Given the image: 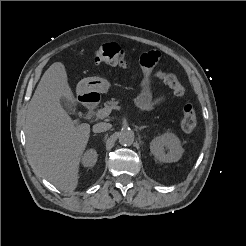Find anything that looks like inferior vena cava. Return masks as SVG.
I'll list each match as a JSON object with an SVG mask.
<instances>
[{
    "mask_svg": "<svg viewBox=\"0 0 246 246\" xmlns=\"http://www.w3.org/2000/svg\"><path fill=\"white\" fill-rule=\"evenodd\" d=\"M110 128H111L110 123L100 122V123H97L93 126V132L94 133H101V132H105V131L109 130Z\"/></svg>",
    "mask_w": 246,
    "mask_h": 246,
    "instance_id": "obj_1",
    "label": "inferior vena cava"
}]
</instances>
